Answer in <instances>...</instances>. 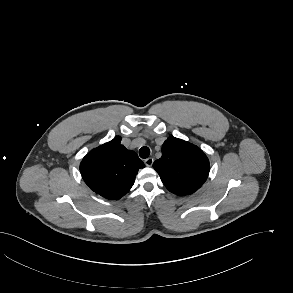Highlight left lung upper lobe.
Wrapping results in <instances>:
<instances>
[{
  "mask_svg": "<svg viewBox=\"0 0 293 293\" xmlns=\"http://www.w3.org/2000/svg\"><path fill=\"white\" fill-rule=\"evenodd\" d=\"M153 167L167 189L179 196L197 191L210 169L209 160L199 147L175 137L163 143L162 157Z\"/></svg>",
  "mask_w": 293,
  "mask_h": 293,
  "instance_id": "5c2ea615",
  "label": "left lung upper lobe"
}]
</instances>
